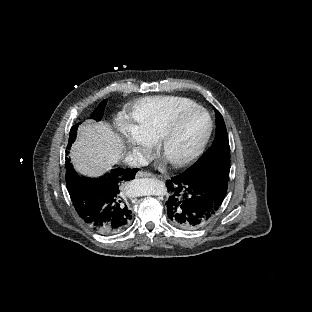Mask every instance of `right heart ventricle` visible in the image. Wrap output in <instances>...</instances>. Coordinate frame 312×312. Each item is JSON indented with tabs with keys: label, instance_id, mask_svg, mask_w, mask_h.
I'll use <instances>...</instances> for the list:
<instances>
[{
	"label": "right heart ventricle",
	"instance_id": "right-heart-ventricle-1",
	"mask_svg": "<svg viewBox=\"0 0 312 312\" xmlns=\"http://www.w3.org/2000/svg\"><path fill=\"white\" fill-rule=\"evenodd\" d=\"M197 106V99L188 93L173 97L169 94L142 93L129 99L125 108L142 141L152 145L176 117L194 111Z\"/></svg>",
	"mask_w": 312,
	"mask_h": 312
}]
</instances>
